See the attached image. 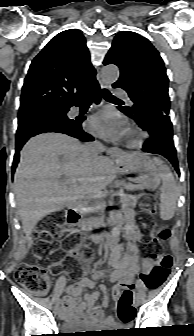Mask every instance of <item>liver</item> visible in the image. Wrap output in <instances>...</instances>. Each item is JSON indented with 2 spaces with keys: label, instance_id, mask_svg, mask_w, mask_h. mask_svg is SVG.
Wrapping results in <instances>:
<instances>
[{
  "label": "liver",
  "instance_id": "1",
  "mask_svg": "<svg viewBox=\"0 0 194 336\" xmlns=\"http://www.w3.org/2000/svg\"><path fill=\"white\" fill-rule=\"evenodd\" d=\"M120 167L113 159L93 160L86 145L64 134H40L20 153L14 176L17 209L26 236L46 215L85 197H95L109 185ZM67 179L61 181L60 177Z\"/></svg>",
  "mask_w": 194,
  "mask_h": 336
}]
</instances>
